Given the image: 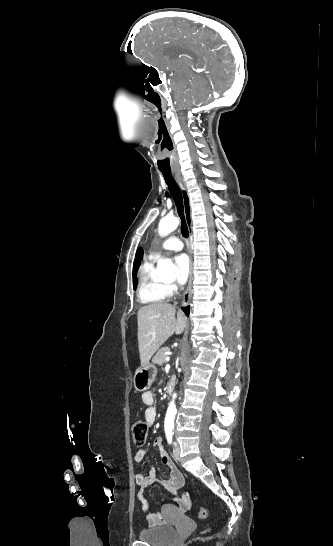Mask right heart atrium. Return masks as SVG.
Masks as SVG:
<instances>
[{
    "label": "right heart atrium",
    "instance_id": "1",
    "mask_svg": "<svg viewBox=\"0 0 333 546\" xmlns=\"http://www.w3.org/2000/svg\"><path fill=\"white\" fill-rule=\"evenodd\" d=\"M175 289H176L175 285H171V284L165 285V290L169 295L172 294L175 291Z\"/></svg>",
    "mask_w": 333,
    "mask_h": 546
}]
</instances>
